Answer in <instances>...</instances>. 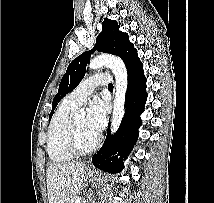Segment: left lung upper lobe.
<instances>
[{"instance_id": "left-lung-upper-lobe-1", "label": "left lung upper lobe", "mask_w": 214, "mask_h": 203, "mask_svg": "<svg viewBox=\"0 0 214 203\" xmlns=\"http://www.w3.org/2000/svg\"><path fill=\"white\" fill-rule=\"evenodd\" d=\"M120 24L115 20L104 19L102 24V32L96 39V46L93 50L87 51L79 55L68 66L64 74L59 90L52 102V114L60 102V100L69 92H71L82 80L86 72V65L90 59V55L98 50L99 52L110 53L119 56L125 63L128 64L130 59L137 53L133 44L128 41V35L119 31Z\"/></svg>"}]
</instances>
